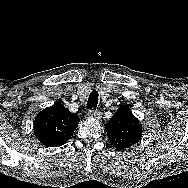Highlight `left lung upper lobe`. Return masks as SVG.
<instances>
[{
	"label": "left lung upper lobe",
	"mask_w": 188,
	"mask_h": 188,
	"mask_svg": "<svg viewBox=\"0 0 188 188\" xmlns=\"http://www.w3.org/2000/svg\"><path fill=\"white\" fill-rule=\"evenodd\" d=\"M105 130L112 146L117 150H125L138 143L143 131L139 120L126 105L120 106L105 124Z\"/></svg>",
	"instance_id": "obj_1"
}]
</instances>
